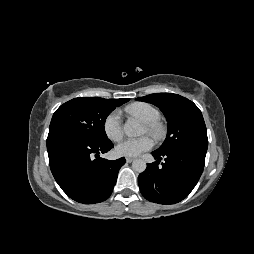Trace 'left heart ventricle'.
Here are the masks:
<instances>
[{
    "label": "left heart ventricle",
    "mask_w": 254,
    "mask_h": 254,
    "mask_svg": "<svg viewBox=\"0 0 254 254\" xmlns=\"http://www.w3.org/2000/svg\"><path fill=\"white\" fill-rule=\"evenodd\" d=\"M144 132H147V129H146V127L144 126Z\"/></svg>",
    "instance_id": "1"
}]
</instances>
